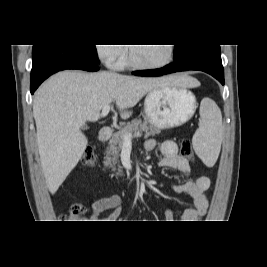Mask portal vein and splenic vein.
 <instances>
[{
	"mask_svg": "<svg viewBox=\"0 0 267 267\" xmlns=\"http://www.w3.org/2000/svg\"><path fill=\"white\" fill-rule=\"evenodd\" d=\"M109 111H110V105H107L102 109L101 115L105 117L109 113ZM139 136H140L139 134H135V135L125 134L124 143H131L133 137H139Z\"/></svg>",
	"mask_w": 267,
	"mask_h": 267,
	"instance_id": "18ae733b",
	"label": "portal vein and splenic vein"
}]
</instances>
